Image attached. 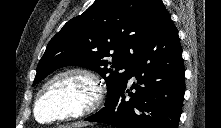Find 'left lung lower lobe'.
<instances>
[{
  "instance_id": "1",
  "label": "left lung lower lobe",
  "mask_w": 221,
  "mask_h": 128,
  "mask_svg": "<svg viewBox=\"0 0 221 128\" xmlns=\"http://www.w3.org/2000/svg\"><path fill=\"white\" fill-rule=\"evenodd\" d=\"M184 64L178 31L168 15L131 61L126 84L85 121L116 128H178L184 99ZM132 76L130 92L127 84ZM127 96H130L127 99Z\"/></svg>"
}]
</instances>
